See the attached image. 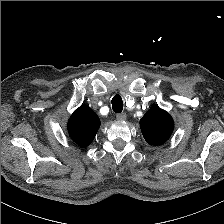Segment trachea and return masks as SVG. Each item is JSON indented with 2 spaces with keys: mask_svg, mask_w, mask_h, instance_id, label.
<instances>
[{
  "mask_svg": "<svg viewBox=\"0 0 224 224\" xmlns=\"http://www.w3.org/2000/svg\"><path fill=\"white\" fill-rule=\"evenodd\" d=\"M112 109L115 113H121L123 110V100L118 94L112 98Z\"/></svg>",
  "mask_w": 224,
  "mask_h": 224,
  "instance_id": "obj_1",
  "label": "trachea"
}]
</instances>
